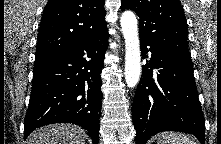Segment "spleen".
I'll return each mask as SVG.
<instances>
[{
    "mask_svg": "<svg viewBox=\"0 0 221 144\" xmlns=\"http://www.w3.org/2000/svg\"><path fill=\"white\" fill-rule=\"evenodd\" d=\"M157 144H197L192 136L176 133L166 132L158 136Z\"/></svg>",
    "mask_w": 221,
    "mask_h": 144,
    "instance_id": "3e777b00",
    "label": "spleen"
}]
</instances>
